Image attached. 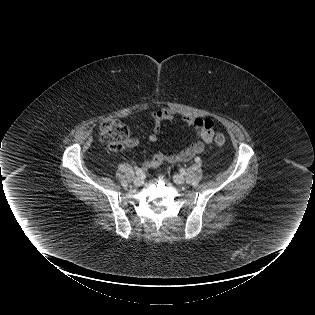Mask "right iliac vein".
Here are the masks:
<instances>
[{
	"label": "right iliac vein",
	"mask_w": 315,
	"mask_h": 315,
	"mask_svg": "<svg viewBox=\"0 0 315 315\" xmlns=\"http://www.w3.org/2000/svg\"><path fill=\"white\" fill-rule=\"evenodd\" d=\"M144 183V180L142 177H136L134 179V185L135 186H141Z\"/></svg>",
	"instance_id": "obj_1"
}]
</instances>
